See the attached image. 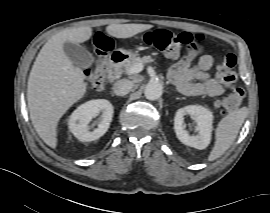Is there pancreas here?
<instances>
[{
	"instance_id": "pancreas-1",
	"label": "pancreas",
	"mask_w": 270,
	"mask_h": 213,
	"mask_svg": "<svg viewBox=\"0 0 270 213\" xmlns=\"http://www.w3.org/2000/svg\"><path fill=\"white\" fill-rule=\"evenodd\" d=\"M151 62H154V59L151 56L133 57L132 59L127 60L121 66V70L127 71L128 69H130L132 66H134L137 63L148 64Z\"/></svg>"
}]
</instances>
